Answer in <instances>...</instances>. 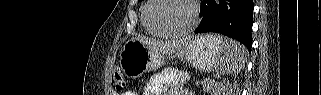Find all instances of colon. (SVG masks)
Wrapping results in <instances>:
<instances>
[{"label":"colon","instance_id":"colon-1","mask_svg":"<svg viewBox=\"0 0 321 95\" xmlns=\"http://www.w3.org/2000/svg\"><path fill=\"white\" fill-rule=\"evenodd\" d=\"M113 82L115 85V88L118 91H123L126 87V81L120 71V69H116L113 74Z\"/></svg>","mask_w":321,"mask_h":95}]
</instances>
